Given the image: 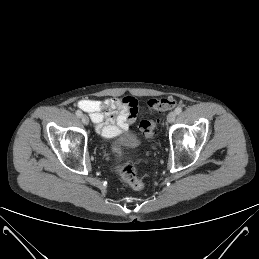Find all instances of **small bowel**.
I'll list each match as a JSON object with an SVG mask.
<instances>
[{"mask_svg":"<svg viewBox=\"0 0 259 259\" xmlns=\"http://www.w3.org/2000/svg\"><path fill=\"white\" fill-rule=\"evenodd\" d=\"M77 106L89 114L103 137L127 130L138 115V101L132 96L104 100L81 99Z\"/></svg>","mask_w":259,"mask_h":259,"instance_id":"c3829d8e","label":"small bowel"}]
</instances>
